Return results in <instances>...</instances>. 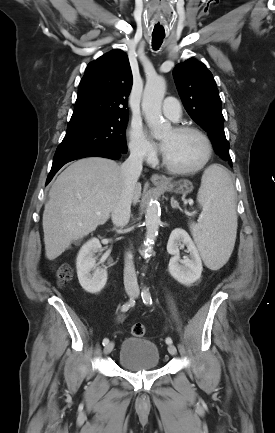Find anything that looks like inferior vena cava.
Listing matches in <instances>:
<instances>
[{
    "mask_svg": "<svg viewBox=\"0 0 275 433\" xmlns=\"http://www.w3.org/2000/svg\"><path fill=\"white\" fill-rule=\"evenodd\" d=\"M142 163L143 153L138 150H132L130 152V156L121 165L124 186L120 197L111 213L112 222L117 227H123L129 222L133 192L138 178L142 172ZM124 286L127 292L139 291L133 264V256L131 253H127L125 256Z\"/></svg>",
    "mask_w": 275,
    "mask_h": 433,
    "instance_id": "inferior-vena-cava-1",
    "label": "inferior vena cava"
}]
</instances>
